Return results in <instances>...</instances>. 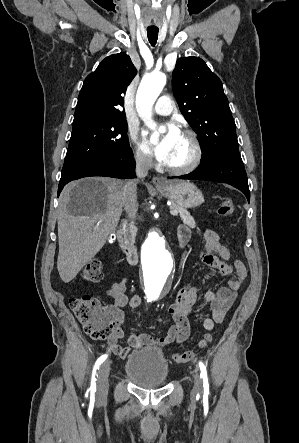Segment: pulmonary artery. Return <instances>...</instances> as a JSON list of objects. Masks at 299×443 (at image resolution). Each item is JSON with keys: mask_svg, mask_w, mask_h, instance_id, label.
Returning <instances> with one entry per match:
<instances>
[{"mask_svg": "<svg viewBox=\"0 0 299 443\" xmlns=\"http://www.w3.org/2000/svg\"><path fill=\"white\" fill-rule=\"evenodd\" d=\"M173 110L174 103L167 95L161 96L153 108V111L159 115H169Z\"/></svg>", "mask_w": 299, "mask_h": 443, "instance_id": "pulmonary-artery-1", "label": "pulmonary artery"}]
</instances>
